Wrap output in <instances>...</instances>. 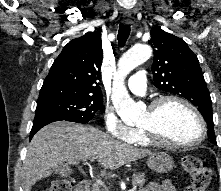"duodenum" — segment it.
<instances>
[{"instance_id":"410a0bca","label":"duodenum","mask_w":221,"mask_h":191,"mask_svg":"<svg viewBox=\"0 0 221 191\" xmlns=\"http://www.w3.org/2000/svg\"><path fill=\"white\" fill-rule=\"evenodd\" d=\"M91 183L88 179L81 180L75 188V191H90Z\"/></svg>"}]
</instances>
